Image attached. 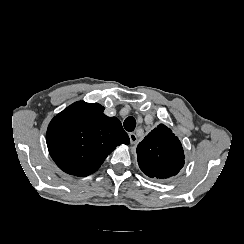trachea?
<instances>
[{
	"instance_id": "1",
	"label": "trachea",
	"mask_w": 244,
	"mask_h": 244,
	"mask_svg": "<svg viewBox=\"0 0 244 244\" xmlns=\"http://www.w3.org/2000/svg\"><path fill=\"white\" fill-rule=\"evenodd\" d=\"M124 128L126 131H133L136 127V120L133 118V117H127L125 120H124Z\"/></svg>"
}]
</instances>
